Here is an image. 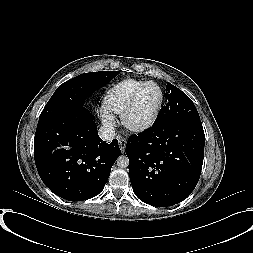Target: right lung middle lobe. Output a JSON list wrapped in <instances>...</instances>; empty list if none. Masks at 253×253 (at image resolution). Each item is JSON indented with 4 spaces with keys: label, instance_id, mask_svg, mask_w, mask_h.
<instances>
[{
    "label": "right lung middle lobe",
    "instance_id": "obj_1",
    "mask_svg": "<svg viewBox=\"0 0 253 253\" xmlns=\"http://www.w3.org/2000/svg\"><path fill=\"white\" fill-rule=\"evenodd\" d=\"M119 71H100L78 75L61 84L45 105L39 121L57 117L73 108L83 106L85 99L105 86Z\"/></svg>",
    "mask_w": 253,
    "mask_h": 253
}]
</instances>
